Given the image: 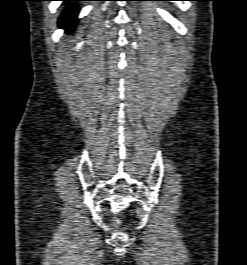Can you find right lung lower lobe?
Returning <instances> with one entry per match:
<instances>
[{
	"instance_id": "right-lung-lower-lobe-1",
	"label": "right lung lower lobe",
	"mask_w": 247,
	"mask_h": 265,
	"mask_svg": "<svg viewBox=\"0 0 247 265\" xmlns=\"http://www.w3.org/2000/svg\"><path fill=\"white\" fill-rule=\"evenodd\" d=\"M61 1L67 2L69 4L60 15L58 20V25L59 27H64L66 29L72 30V28L77 24L76 17L78 14V7L76 4H70V3L77 1H84V0H61Z\"/></svg>"
}]
</instances>
